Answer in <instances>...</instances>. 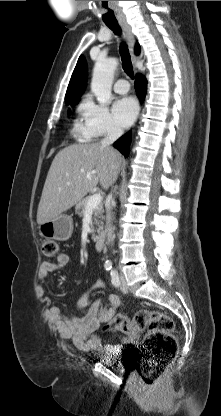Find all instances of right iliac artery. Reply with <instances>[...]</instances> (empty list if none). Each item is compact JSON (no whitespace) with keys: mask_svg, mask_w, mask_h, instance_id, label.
Returning <instances> with one entry per match:
<instances>
[{"mask_svg":"<svg viewBox=\"0 0 221 416\" xmlns=\"http://www.w3.org/2000/svg\"><path fill=\"white\" fill-rule=\"evenodd\" d=\"M104 267H105V269H106V270H110V269L112 268V263H110V262H106V263L104 264Z\"/></svg>","mask_w":221,"mask_h":416,"instance_id":"1","label":"right iliac artery"}]
</instances>
